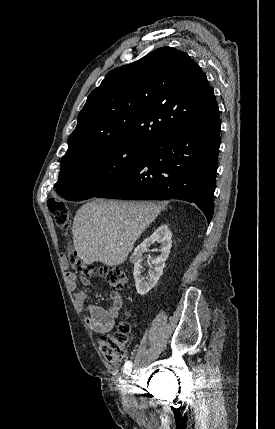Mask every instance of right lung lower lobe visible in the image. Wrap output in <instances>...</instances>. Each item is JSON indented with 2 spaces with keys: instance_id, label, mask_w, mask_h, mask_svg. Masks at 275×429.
I'll return each instance as SVG.
<instances>
[{
  "instance_id": "obj_1",
  "label": "right lung lower lobe",
  "mask_w": 275,
  "mask_h": 429,
  "mask_svg": "<svg viewBox=\"0 0 275 429\" xmlns=\"http://www.w3.org/2000/svg\"><path fill=\"white\" fill-rule=\"evenodd\" d=\"M219 117L172 131L149 145L144 161L95 197L126 200L180 199L199 206L208 223L220 146Z\"/></svg>"
}]
</instances>
